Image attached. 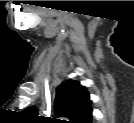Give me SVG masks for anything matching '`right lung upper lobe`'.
Instances as JSON below:
<instances>
[{"instance_id": "obj_1", "label": "right lung upper lobe", "mask_w": 134, "mask_h": 123, "mask_svg": "<svg viewBox=\"0 0 134 123\" xmlns=\"http://www.w3.org/2000/svg\"><path fill=\"white\" fill-rule=\"evenodd\" d=\"M25 112L29 116L38 117L34 106ZM55 113L57 117L67 118L68 123H91L92 108L87 89L75 80L61 83L57 88Z\"/></svg>"}]
</instances>
